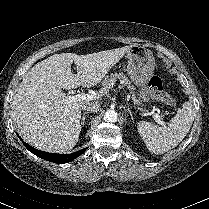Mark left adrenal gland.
Wrapping results in <instances>:
<instances>
[{
  "instance_id": "a2214340",
  "label": "left adrenal gland",
  "mask_w": 209,
  "mask_h": 209,
  "mask_svg": "<svg viewBox=\"0 0 209 209\" xmlns=\"http://www.w3.org/2000/svg\"><path fill=\"white\" fill-rule=\"evenodd\" d=\"M124 110H126L130 114L131 119L133 121L134 119H133V114H132L131 110L129 108H125V107H124Z\"/></svg>"
}]
</instances>
